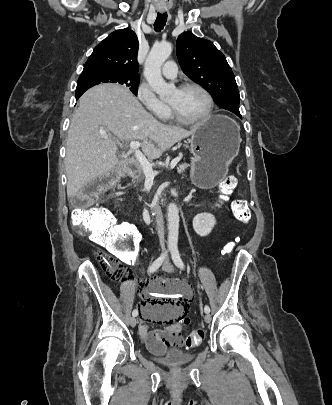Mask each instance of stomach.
Instances as JSON below:
<instances>
[{"instance_id":"obj_1","label":"stomach","mask_w":332,"mask_h":405,"mask_svg":"<svg viewBox=\"0 0 332 405\" xmlns=\"http://www.w3.org/2000/svg\"><path fill=\"white\" fill-rule=\"evenodd\" d=\"M189 141L192 180L202 187H214L224 179L229 164L239 153L238 125L227 116H210L197 124Z\"/></svg>"}]
</instances>
